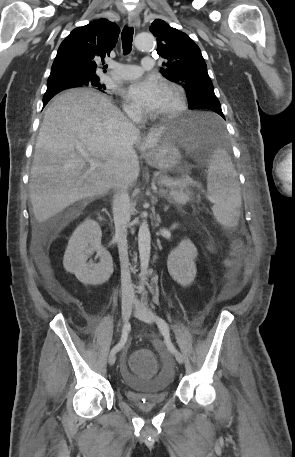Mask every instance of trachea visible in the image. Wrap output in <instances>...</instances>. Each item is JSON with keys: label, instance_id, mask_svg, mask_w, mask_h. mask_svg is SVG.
<instances>
[{"label": "trachea", "instance_id": "3493384b", "mask_svg": "<svg viewBox=\"0 0 295 457\" xmlns=\"http://www.w3.org/2000/svg\"><path fill=\"white\" fill-rule=\"evenodd\" d=\"M133 27L126 25L122 31V47H123V54L127 55L131 52L132 49V41H133Z\"/></svg>", "mask_w": 295, "mask_h": 457}]
</instances>
